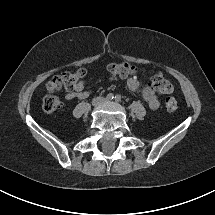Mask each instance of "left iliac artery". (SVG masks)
Listing matches in <instances>:
<instances>
[{"mask_svg":"<svg viewBox=\"0 0 215 215\" xmlns=\"http://www.w3.org/2000/svg\"><path fill=\"white\" fill-rule=\"evenodd\" d=\"M115 101L116 102H120L121 101V96L120 95H116L115 96Z\"/></svg>","mask_w":215,"mask_h":215,"instance_id":"obj_1","label":"left iliac artery"}]
</instances>
